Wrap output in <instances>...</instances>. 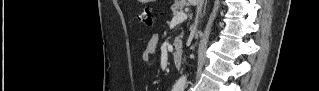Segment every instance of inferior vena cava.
Segmentation results:
<instances>
[{
	"label": "inferior vena cava",
	"mask_w": 319,
	"mask_h": 91,
	"mask_svg": "<svg viewBox=\"0 0 319 91\" xmlns=\"http://www.w3.org/2000/svg\"><path fill=\"white\" fill-rule=\"evenodd\" d=\"M203 3H204V0H199V3L197 4V15H196L195 24H194V30L197 27L198 17L201 14Z\"/></svg>",
	"instance_id": "602c4592"
}]
</instances>
